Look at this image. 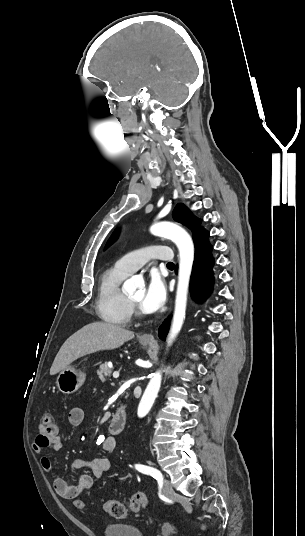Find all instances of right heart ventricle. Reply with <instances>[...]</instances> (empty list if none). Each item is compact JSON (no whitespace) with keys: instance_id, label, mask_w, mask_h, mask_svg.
<instances>
[{"instance_id":"right-heart-ventricle-1","label":"right heart ventricle","mask_w":305,"mask_h":536,"mask_svg":"<svg viewBox=\"0 0 305 536\" xmlns=\"http://www.w3.org/2000/svg\"><path fill=\"white\" fill-rule=\"evenodd\" d=\"M129 275L116 267L103 273L100 279L96 307L99 317L106 322L128 327L132 320V309L120 284Z\"/></svg>"}]
</instances>
